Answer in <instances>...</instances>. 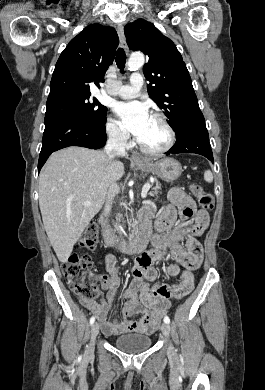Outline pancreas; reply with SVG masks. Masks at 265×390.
Returning <instances> with one entry per match:
<instances>
[{"label": "pancreas", "mask_w": 265, "mask_h": 390, "mask_svg": "<svg viewBox=\"0 0 265 390\" xmlns=\"http://www.w3.org/2000/svg\"><path fill=\"white\" fill-rule=\"evenodd\" d=\"M159 190H161L160 184L156 182L155 186L152 188V191L150 192V196H154L155 194H158Z\"/></svg>", "instance_id": "1"}]
</instances>
